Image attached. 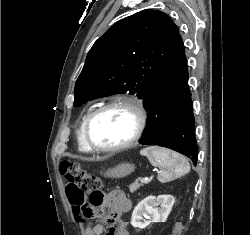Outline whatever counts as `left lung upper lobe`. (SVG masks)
Wrapping results in <instances>:
<instances>
[{
  "label": "left lung upper lobe",
  "instance_id": "5c2ea615",
  "mask_svg": "<svg viewBox=\"0 0 250 235\" xmlns=\"http://www.w3.org/2000/svg\"><path fill=\"white\" fill-rule=\"evenodd\" d=\"M178 37V27L161 11L147 9L118 21L90 49L74 106L116 93L143 98Z\"/></svg>",
  "mask_w": 250,
  "mask_h": 235
}]
</instances>
